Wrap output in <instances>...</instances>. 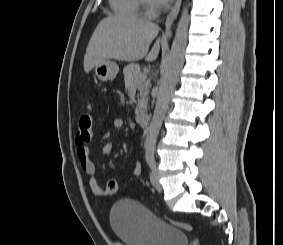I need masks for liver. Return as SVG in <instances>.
I'll list each match as a JSON object with an SVG mask.
<instances>
[{"label": "liver", "instance_id": "1", "mask_svg": "<svg viewBox=\"0 0 283 245\" xmlns=\"http://www.w3.org/2000/svg\"><path fill=\"white\" fill-rule=\"evenodd\" d=\"M158 25L130 16L110 15L96 27L84 56V71L89 73L97 64L109 59L154 61L160 51L158 39L149 51L150 44L158 35Z\"/></svg>", "mask_w": 283, "mask_h": 245}]
</instances>
